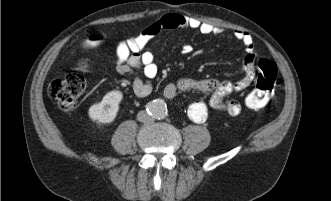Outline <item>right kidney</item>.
Here are the masks:
<instances>
[{
	"mask_svg": "<svg viewBox=\"0 0 331 201\" xmlns=\"http://www.w3.org/2000/svg\"><path fill=\"white\" fill-rule=\"evenodd\" d=\"M122 98L123 94L119 90L108 92L100 103L93 104L89 108L90 119L99 125L112 123L117 116Z\"/></svg>",
	"mask_w": 331,
	"mask_h": 201,
	"instance_id": "1",
	"label": "right kidney"
}]
</instances>
